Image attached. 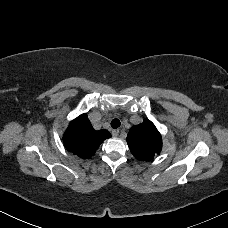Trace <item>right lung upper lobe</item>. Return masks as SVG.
<instances>
[{"instance_id":"obj_1","label":"right lung upper lobe","mask_w":228,"mask_h":228,"mask_svg":"<svg viewBox=\"0 0 228 228\" xmlns=\"http://www.w3.org/2000/svg\"><path fill=\"white\" fill-rule=\"evenodd\" d=\"M111 134L107 130L93 129L86 114L74 119L63 135L66 149L80 158H89L94 155L100 144Z\"/></svg>"}]
</instances>
